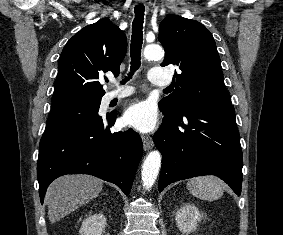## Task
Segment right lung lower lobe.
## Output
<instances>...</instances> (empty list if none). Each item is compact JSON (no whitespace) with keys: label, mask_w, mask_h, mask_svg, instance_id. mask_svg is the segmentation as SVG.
<instances>
[{"label":"right lung lower lobe","mask_w":283,"mask_h":235,"mask_svg":"<svg viewBox=\"0 0 283 235\" xmlns=\"http://www.w3.org/2000/svg\"><path fill=\"white\" fill-rule=\"evenodd\" d=\"M116 113L98 114L40 140L37 177L43 204L49 184L64 174H89L116 184L129 195L142 156L141 137L132 129L110 132Z\"/></svg>","instance_id":"1"}]
</instances>
